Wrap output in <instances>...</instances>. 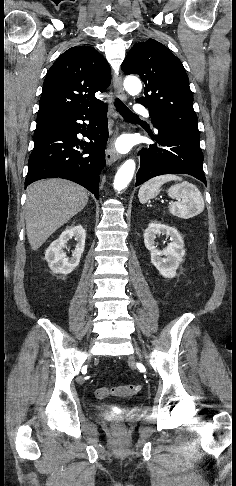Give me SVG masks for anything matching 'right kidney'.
<instances>
[{
	"instance_id": "1",
	"label": "right kidney",
	"mask_w": 236,
	"mask_h": 486,
	"mask_svg": "<svg viewBox=\"0 0 236 486\" xmlns=\"http://www.w3.org/2000/svg\"><path fill=\"white\" fill-rule=\"evenodd\" d=\"M74 238L77 241L72 257L69 259L63 249L67 242ZM86 232L81 225L65 229L60 237L53 241L45 252V260L49 268L56 274H70L80 262L85 248Z\"/></svg>"
}]
</instances>
